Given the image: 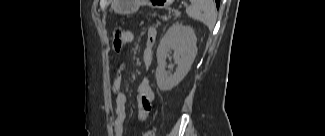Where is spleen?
Returning <instances> with one entry per match:
<instances>
[{
    "instance_id": "3e777b00",
    "label": "spleen",
    "mask_w": 325,
    "mask_h": 136,
    "mask_svg": "<svg viewBox=\"0 0 325 136\" xmlns=\"http://www.w3.org/2000/svg\"><path fill=\"white\" fill-rule=\"evenodd\" d=\"M189 17L204 23L209 30L216 23V7L212 0H192L191 5L186 8Z\"/></svg>"
}]
</instances>
